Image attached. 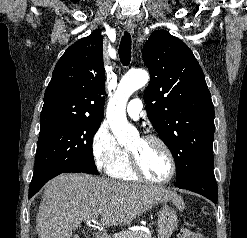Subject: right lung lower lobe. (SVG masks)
I'll use <instances>...</instances> for the list:
<instances>
[{
    "label": "right lung lower lobe",
    "mask_w": 247,
    "mask_h": 238,
    "mask_svg": "<svg viewBox=\"0 0 247 238\" xmlns=\"http://www.w3.org/2000/svg\"><path fill=\"white\" fill-rule=\"evenodd\" d=\"M62 172H57V173H54L50 176H48L46 179H44L43 181H41L39 184H37L36 186H33L29 188V198H31L34 194H36L41 188L42 186L48 181L50 180L51 178L61 174Z\"/></svg>",
    "instance_id": "obj_1"
}]
</instances>
